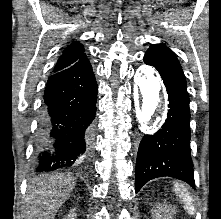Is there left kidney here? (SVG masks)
<instances>
[{
  "label": "left kidney",
  "mask_w": 221,
  "mask_h": 219,
  "mask_svg": "<svg viewBox=\"0 0 221 219\" xmlns=\"http://www.w3.org/2000/svg\"><path fill=\"white\" fill-rule=\"evenodd\" d=\"M174 211L166 203L160 205L153 211V219H172L171 214Z\"/></svg>",
  "instance_id": "left-kidney-1"
}]
</instances>
